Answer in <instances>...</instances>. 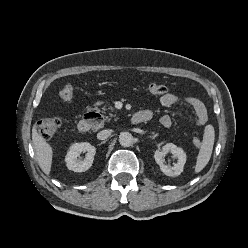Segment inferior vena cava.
Wrapping results in <instances>:
<instances>
[{"label":"inferior vena cava","mask_w":248,"mask_h":248,"mask_svg":"<svg viewBox=\"0 0 248 248\" xmlns=\"http://www.w3.org/2000/svg\"><path fill=\"white\" fill-rule=\"evenodd\" d=\"M112 133V130L108 129V130H102L97 134V138L99 140H105L107 139Z\"/></svg>","instance_id":"inferior-vena-cava-1"}]
</instances>
